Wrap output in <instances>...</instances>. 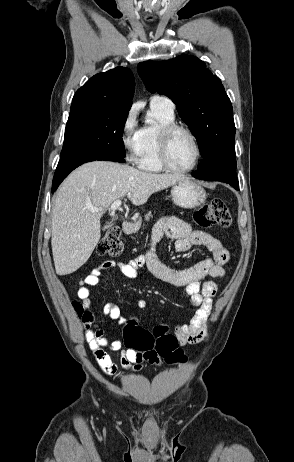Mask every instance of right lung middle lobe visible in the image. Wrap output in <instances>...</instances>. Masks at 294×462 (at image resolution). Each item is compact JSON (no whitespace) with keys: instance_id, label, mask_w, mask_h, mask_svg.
Returning <instances> with one entry per match:
<instances>
[{"instance_id":"1","label":"right lung middle lobe","mask_w":294,"mask_h":462,"mask_svg":"<svg viewBox=\"0 0 294 462\" xmlns=\"http://www.w3.org/2000/svg\"><path fill=\"white\" fill-rule=\"evenodd\" d=\"M128 110L107 107L70 109L59 165L88 158L125 157L122 139Z\"/></svg>"}]
</instances>
